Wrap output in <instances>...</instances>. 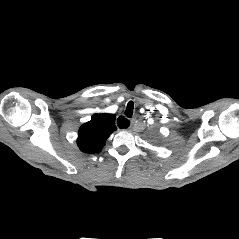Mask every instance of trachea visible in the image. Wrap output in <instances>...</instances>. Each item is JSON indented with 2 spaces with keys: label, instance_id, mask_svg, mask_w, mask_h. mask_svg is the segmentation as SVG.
<instances>
[{
  "label": "trachea",
  "instance_id": "obj_1",
  "mask_svg": "<svg viewBox=\"0 0 239 239\" xmlns=\"http://www.w3.org/2000/svg\"><path fill=\"white\" fill-rule=\"evenodd\" d=\"M133 109H134V103L132 101L128 102L124 114L129 118L132 117Z\"/></svg>",
  "mask_w": 239,
  "mask_h": 239
}]
</instances>
